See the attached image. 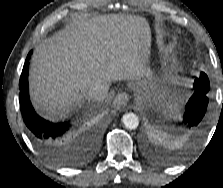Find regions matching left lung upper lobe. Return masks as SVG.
<instances>
[{
	"label": "left lung upper lobe",
	"mask_w": 223,
	"mask_h": 188,
	"mask_svg": "<svg viewBox=\"0 0 223 188\" xmlns=\"http://www.w3.org/2000/svg\"><path fill=\"white\" fill-rule=\"evenodd\" d=\"M193 88L195 91L197 90L204 94H208L210 90L209 79L204 72H201L200 76L195 78ZM146 153L147 156L155 162H166L171 160L170 156L163 149H148Z\"/></svg>",
	"instance_id": "left-lung-upper-lobe-1"
}]
</instances>
